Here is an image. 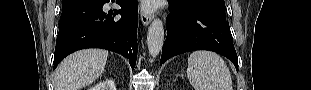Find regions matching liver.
<instances>
[{"mask_svg": "<svg viewBox=\"0 0 311 90\" xmlns=\"http://www.w3.org/2000/svg\"><path fill=\"white\" fill-rule=\"evenodd\" d=\"M108 51L86 49L66 57L56 70L55 90H80L93 83L104 71Z\"/></svg>", "mask_w": 311, "mask_h": 90, "instance_id": "6515ba94", "label": "liver"}]
</instances>
